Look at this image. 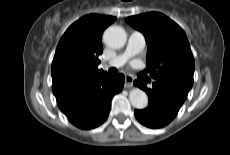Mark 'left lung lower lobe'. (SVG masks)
I'll return each mask as SVG.
<instances>
[{
  "mask_svg": "<svg viewBox=\"0 0 230 155\" xmlns=\"http://www.w3.org/2000/svg\"><path fill=\"white\" fill-rule=\"evenodd\" d=\"M134 85L148 93V107L135 110L134 113L137 120L149 128H161L169 124L188 95L175 87L157 81L153 83L152 88H147L146 83L140 80H135Z\"/></svg>",
  "mask_w": 230,
  "mask_h": 155,
  "instance_id": "0a47b994",
  "label": "left lung lower lobe"
}]
</instances>
